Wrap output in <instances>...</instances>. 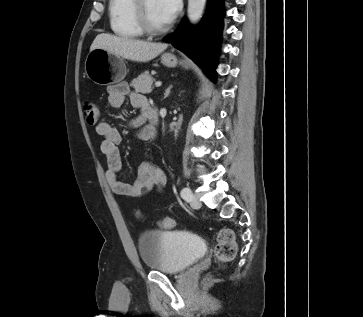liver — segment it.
<instances>
[{
  "mask_svg": "<svg viewBox=\"0 0 363 317\" xmlns=\"http://www.w3.org/2000/svg\"><path fill=\"white\" fill-rule=\"evenodd\" d=\"M167 47L168 45L165 43H154L101 33L94 39L90 51L101 48L131 61L148 62Z\"/></svg>",
  "mask_w": 363,
  "mask_h": 317,
  "instance_id": "6515ba94",
  "label": "liver"
}]
</instances>
